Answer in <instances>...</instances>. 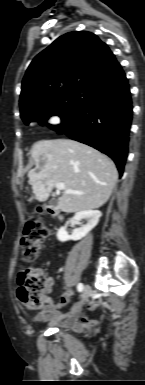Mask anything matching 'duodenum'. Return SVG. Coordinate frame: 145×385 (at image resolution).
I'll return each mask as SVG.
<instances>
[{"label":"duodenum","mask_w":145,"mask_h":385,"mask_svg":"<svg viewBox=\"0 0 145 385\" xmlns=\"http://www.w3.org/2000/svg\"><path fill=\"white\" fill-rule=\"evenodd\" d=\"M46 211L49 215H51L52 217H59V211L56 209V208H53L51 206H48L46 208Z\"/></svg>","instance_id":"1"}]
</instances>
